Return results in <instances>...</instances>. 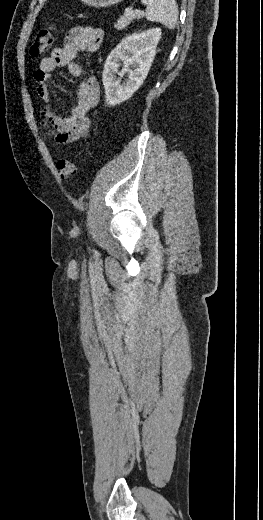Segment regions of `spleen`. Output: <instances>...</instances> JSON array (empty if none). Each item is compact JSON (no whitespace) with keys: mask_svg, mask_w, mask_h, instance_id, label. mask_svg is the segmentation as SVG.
<instances>
[{"mask_svg":"<svg viewBox=\"0 0 263 520\" xmlns=\"http://www.w3.org/2000/svg\"><path fill=\"white\" fill-rule=\"evenodd\" d=\"M146 5L145 16L151 22H159L174 29L178 21V6L175 0H141Z\"/></svg>","mask_w":263,"mask_h":520,"instance_id":"spleen-1","label":"spleen"}]
</instances>
